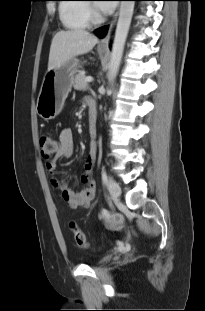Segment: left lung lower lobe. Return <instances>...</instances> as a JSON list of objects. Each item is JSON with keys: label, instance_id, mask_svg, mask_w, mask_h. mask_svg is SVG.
<instances>
[{"label": "left lung lower lobe", "instance_id": "left-lung-lower-lobe-1", "mask_svg": "<svg viewBox=\"0 0 205 311\" xmlns=\"http://www.w3.org/2000/svg\"><path fill=\"white\" fill-rule=\"evenodd\" d=\"M134 1H142V0H134ZM107 29H108V26H104V27H101V28L96 29V30L94 31V33H95L98 37L102 38V37L105 36V34H106V32H107Z\"/></svg>", "mask_w": 205, "mask_h": 311}]
</instances>
